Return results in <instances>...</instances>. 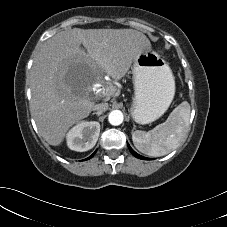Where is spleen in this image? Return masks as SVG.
<instances>
[{
  "label": "spleen",
  "instance_id": "3e777b00",
  "mask_svg": "<svg viewBox=\"0 0 227 227\" xmlns=\"http://www.w3.org/2000/svg\"><path fill=\"white\" fill-rule=\"evenodd\" d=\"M189 119L190 105L184 101L170 113L164 123L148 132L134 131L132 133L134 146L148 156H164L176 149L183 141L188 132Z\"/></svg>",
  "mask_w": 227,
  "mask_h": 227
}]
</instances>
